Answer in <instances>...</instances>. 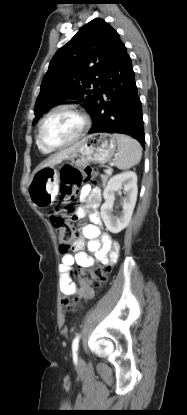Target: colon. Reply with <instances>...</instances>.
<instances>
[{"instance_id":"colon-1","label":"colon","mask_w":187,"mask_h":415,"mask_svg":"<svg viewBox=\"0 0 187 415\" xmlns=\"http://www.w3.org/2000/svg\"><path fill=\"white\" fill-rule=\"evenodd\" d=\"M95 171L90 167L78 169L73 166L66 167L61 172L60 194L63 200L74 198L80 187L85 182L95 181ZM72 206L65 207L67 213H71ZM49 219L54 227L60 243V251L66 252L71 247L75 238V227L73 217H69L60 211H53L49 214ZM109 266L99 265L87 269H78L75 277L81 285L80 296L84 299H91L94 296V290L101 288L109 273ZM79 302V298H65L62 303L69 311L74 310Z\"/></svg>"}]
</instances>
